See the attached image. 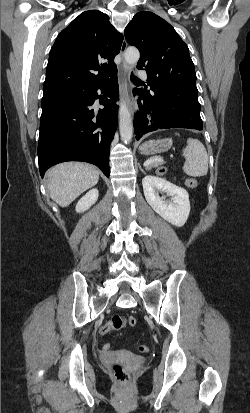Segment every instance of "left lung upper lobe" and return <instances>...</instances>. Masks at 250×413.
Returning <instances> with one entry per match:
<instances>
[{
	"mask_svg": "<svg viewBox=\"0 0 250 413\" xmlns=\"http://www.w3.org/2000/svg\"><path fill=\"white\" fill-rule=\"evenodd\" d=\"M124 35L130 45L140 50L137 68L147 71L151 83L195 84V68L189 49L164 19L152 12H139L125 28Z\"/></svg>",
	"mask_w": 250,
	"mask_h": 413,
	"instance_id": "obj_1",
	"label": "left lung upper lobe"
}]
</instances>
